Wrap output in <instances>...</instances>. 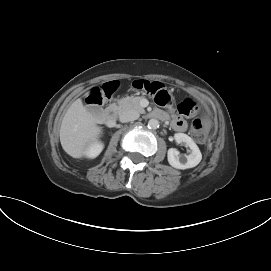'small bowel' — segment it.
<instances>
[{
	"mask_svg": "<svg viewBox=\"0 0 271 271\" xmlns=\"http://www.w3.org/2000/svg\"><path fill=\"white\" fill-rule=\"evenodd\" d=\"M156 114L159 117H166V115L161 111H158ZM171 125L176 131L179 132H183L186 129V122L177 116H172Z\"/></svg>",
	"mask_w": 271,
	"mask_h": 271,
	"instance_id": "small-bowel-1",
	"label": "small bowel"
}]
</instances>
